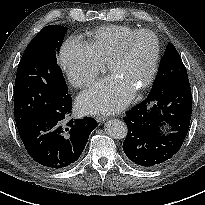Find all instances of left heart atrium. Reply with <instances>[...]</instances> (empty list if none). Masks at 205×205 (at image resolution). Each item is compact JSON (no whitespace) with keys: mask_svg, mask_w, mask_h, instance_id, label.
<instances>
[{"mask_svg":"<svg viewBox=\"0 0 205 205\" xmlns=\"http://www.w3.org/2000/svg\"><path fill=\"white\" fill-rule=\"evenodd\" d=\"M134 90L117 76L111 75L83 92L77 107L83 113H113L124 108L133 98Z\"/></svg>","mask_w":205,"mask_h":205,"instance_id":"obj_1","label":"left heart atrium"}]
</instances>
